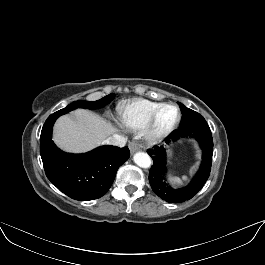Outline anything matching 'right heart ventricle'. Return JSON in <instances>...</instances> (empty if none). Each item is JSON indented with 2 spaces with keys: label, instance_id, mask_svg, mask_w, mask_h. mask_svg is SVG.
Instances as JSON below:
<instances>
[{
  "label": "right heart ventricle",
  "instance_id": "right-heart-ventricle-1",
  "mask_svg": "<svg viewBox=\"0 0 265 265\" xmlns=\"http://www.w3.org/2000/svg\"><path fill=\"white\" fill-rule=\"evenodd\" d=\"M162 103L143 98H135L122 102L117 113L120 121L128 128L142 129L149 116Z\"/></svg>",
  "mask_w": 265,
  "mask_h": 265
}]
</instances>
